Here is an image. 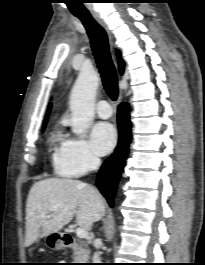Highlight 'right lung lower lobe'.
Returning a JSON list of instances; mask_svg holds the SVG:
<instances>
[{"label": "right lung lower lobe", "instance_id": "right-lung-lower-lobe-1", "mask_svg": "<svg viewBox=\"0 0 205 265\" xmlns=\"http://www.w3.org/2000/svg\"><path fill=\"white\" fill-rule=\"evenodd\" d=\"M117 121L119 129L118 146L115 153L103 163L96 180L99 190L111 207L114 205L115 190L131 139V123L129 120V106L127 103H121L119 105Z\"/></svg>", "mask_w": 205, "mask_h": 265}]
</instances>
